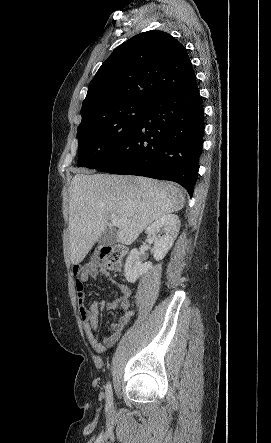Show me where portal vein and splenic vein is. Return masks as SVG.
<instances>
[{
  "label": "portal vein and splenic vein",
  "instance_id": "18ae733b",
  "mask_svg": "<svg viewBox=\"0 0 271 443\" xmlns=\"http://www.w3.org/2000/svg\"><path fill=\"white\" fill-rule=\"evenodd\" d=\"M110 220H111L112 225H117V223L120 222V220H118L116 214H111Z\"/></svg>",
  "mask_w": 271,
  "mask_h": 443
}]
</instances>
